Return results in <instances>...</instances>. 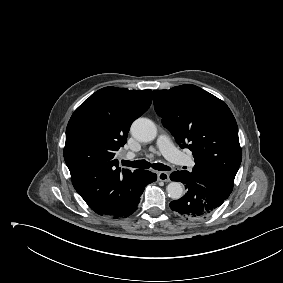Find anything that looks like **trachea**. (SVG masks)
<instances>
[{"instance_id": "1", "label": "trachea", "mask_w": 283, "mask_h": 283, "mask_svg": "<svg viewBox=\"0 0 283 283\" xmlns=\"http://www.w3.org/2000/svg\"><path fill=\"white\" fill-rule=\"evenodd\" d=\"M122 164L124 166H129L133 168H141V169H146L152 167L155 170H162V171H167L171 170V168L167 165H164L162 163H153L151 164L150 162L146 160H137V161H126L122 160Z\"/></svg>"}]
</instances>
